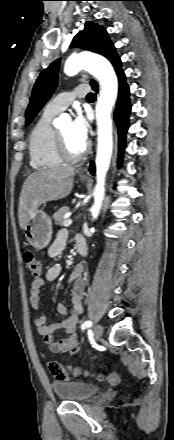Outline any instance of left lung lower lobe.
Returning a JSON list of instances; mask_svg holds the SVG:
<instances>
[{
    "label": "left lung lower lobe",
    "instance_id": "0a47b994",
    "mask_svg": "<svg viewBox=\"0 0 174 440\" xmlns=\"http://www.w3.org/2000/svg\"><path fill=\"white\" fill-rule=\"evenodd\" d=\"M114 69L118 75L119 80V93H118V101L115 110V121L118 127L119 134V163L122 158V153L125 147V136L128 130V118L131 110V105L129 101V87L125 81V74L121 68V60L118 55H115L112 59H110ZM92 88L97 92L98 85L97 83H92ZM89 171L92 175L95 173L94 163L91 162Z\"/></svg>",
    "mask_w": 174,
    "mask_h": 440
}]
</instances>
